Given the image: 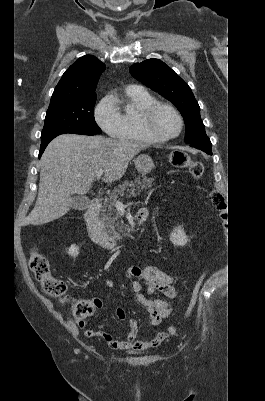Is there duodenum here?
Wrapping results in <instances>:
<instances>
[{
  "mask_svg": "<svg viewBox=\"0 0 265 401\" xmlns=\"http://www.w3.org/2000/svg\"><path fill=\"white\" fill-rule=\"evenodd\" d=\"M101 209V202L93 198L85 212L84 221L90 238L99 246L105 249H114L118 246V240L107 234L98 223V214ZM147 214L139 210L136 215L138 228L146 221Z\"/></svg>",
  "mask_w": 265,
  "mask_h": 401,
  "instance_id": "obj_1",
  "label": "duodenum"
}]
</instances>
